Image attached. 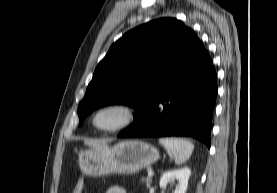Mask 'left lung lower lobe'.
I'll return each mask as SVG.
<instances>
[{
	"instance_id": "0a47b994",
	"label": "left lung lower lobe",
	"mask_w": 277,
	"mask_h": 193,
	"mask_svg": "<svg viewBox=\"0 0 277 193\" xmlns=\"http://www.w3.org/2000/svg\"><path fill=\"white\" fill-rule=\"evenodd\" d=\"M216 78L211 58L198 39L185 62L118 137L190 136L210 147Z\"/></svg>"
}]
</instances>
